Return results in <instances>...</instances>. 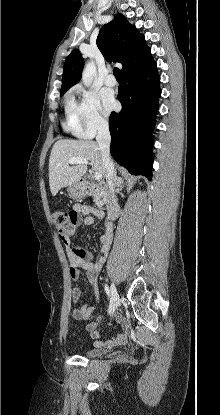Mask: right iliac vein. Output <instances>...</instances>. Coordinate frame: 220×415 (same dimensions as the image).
<instances>
[{
    "label": "right iliac vein",
    "instance_id": "right-iliac-vein-1",
    "mask_svg": "<svg viewBox=\"0 0 220 415\" xmlns=\"http://www.w3.org/2000/svg\"><path fill=\"white\" fill-rule=\"evenodd\" d=\"M111 291V304H110V314L115 311L119 304V293L115 287V285L112 283L110 287Z\"/></svg>",
    "mask_w": 220,
    "mask_h": 415
}]
</instances>
